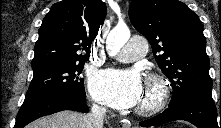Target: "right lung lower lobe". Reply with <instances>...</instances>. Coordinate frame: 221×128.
I'll use <instances>...</instances> for the list:
<instances>
[{
  "mask_svg": "<svg viewBox=\"0 0 221 128\" xmlns=\"http://www.w3.org/2000/svg\"><path fill=\"white\" fill-rule=\"evenodd\" d=\"M85 99L86 97L77 96L68 91H53L25 99L18 112L14 128H23L42 116L62 110L88 113L89 108L84 102Z\"/></svg>",
  "mask_w": 221,
  "mask_h": 128,
  "instance_id": "98d812e1",
  "label": "right lung lower lobe"
}]
</instances>
